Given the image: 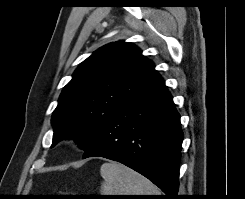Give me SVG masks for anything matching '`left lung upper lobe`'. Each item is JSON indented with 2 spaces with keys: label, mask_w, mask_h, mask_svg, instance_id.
<instances>
[{
  "label": "left lung upper lobe",
  "mask_w": 245,
  "mask_h": 199,
  "mask_svg": "<svg viewBox=\"0 0 245 199\" xmlns=\"http://www.w3.org/2000/svg\"><path fill=\"white\" fill-rule=\"evenodd\" d=\"M157 74L154 64L131 43H110L95 51L61 93L52 115V147L64 137L76 136L86 151L97 141L107 119Z\"/></svg>",
  "instance_id": "5c2ea615"
}]
</instances>
